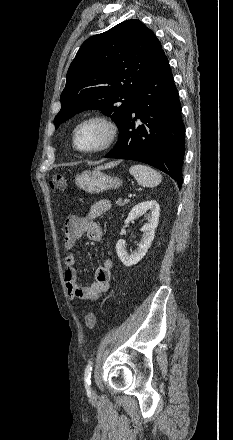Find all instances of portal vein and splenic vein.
<instances>
[{
    "label": "portal vein and splenic vein",
    "mask_w": 233,
    "mask_h": 440,
    "mask_svg": "<svg viewBox=\"0 0 233 440\" xmlns=\"http://www.w3.org/2000/svg\"><path fill=\"white\" fill-rule=\"evenodd\" d=\"M131 197H132V194L129 195V198H131Z\"/></svg>",
    "instance_id": "1"
}]
</instances>
